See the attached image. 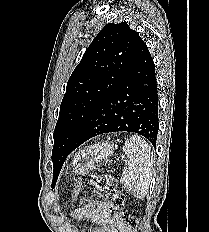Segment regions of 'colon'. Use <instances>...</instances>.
I'll return each mask as SVG.
<instances>
[{
    "instance_id": "colon-1",
    "label": "colon",
    "mask_w": 209,
    "mask_h": 232,
    "mask_svg": "<svg viewBox=\"0 0 209 232\" xmlns=\"http://www.w3.org/2000/svg\"><path fill=\"white\" fill-rule=\"evenodd\" d=\"M89 184L104 193L105 197L111 202V211L114 218L121 221L130 232H136L138 220L135 216L126 214L122 211L124 197L119 191L116 183L107 174H92L89 178ZM76 195V192H75Z\"/></svg>"
}]
</instances>
